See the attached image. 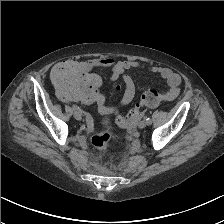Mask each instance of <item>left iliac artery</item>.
I'll return each mask as SVG.
<instances>
[{
  "mask_svg": "<svg viewBox=\"0 0 224 224\" xmlns=\"http://www.w3.org/2000/svg\"><path fill=\"white\" fill-rule=\"evenodd\" d=\"M145 121H146V124H147V125H150V124L152 123V121H151V119H150L149 117H147V118L145 119Z\"/></svg>",
  "mask_w": 224,
  "mask_h": 224,
  "instance_id": "1",
  "label": "left iliac artery"
}]
</instances>
